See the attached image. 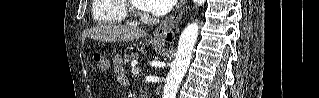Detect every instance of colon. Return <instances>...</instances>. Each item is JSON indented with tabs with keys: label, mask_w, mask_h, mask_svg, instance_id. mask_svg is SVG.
<instances>
[{
	"label": "colon",
	"mask_w": 319,
	"mask_h": 98,
	"mask_svg": "<svg viewBox=\"0 0 319 98\" xmlns=\"http://www.w3.org/2000/svg\"><path fill=\"white\" fill-rule=\"evenodd\" d=\"M93 59L98 68L100 69L106 68L107 63L104 56L101 53H94Z\"/></svg>",
	"instance_id": "colon-1"
}]
</instances>
